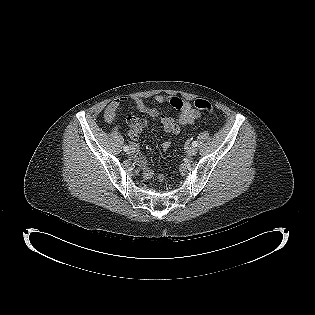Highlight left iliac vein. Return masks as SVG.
<instances>
[{
  "label": "left iliac vein",
  "mask_w": 315,
  "mask_h": 315,
  "mask_svg": "<svg viewBox=\"0 0 315 315\" xmlns=\"http://www.w3.org/2000/svg\"><path fill=\"white\" fill-rule=\"evenodd\" d=\"M197 153V149L193 146L189 147L187 150H186V154L188 156H194L195 154Z\"/></svg>",
  "instance_id": "4c4485c4"
}]
</instances>
